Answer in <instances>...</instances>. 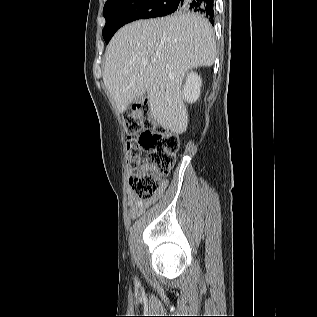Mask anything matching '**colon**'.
I'll return each instance as SVG.
<instances>
[{
	"label": "colon",
	"mask_w": 317,
	"mask_h": 317,
	"mask_svg": "<svg viewBox=\"0 0 317 317\" xmlns=\"http://www.w3.org/2000/svg\"><path fill=\"white\" fill-rule=\"evenodd\" d=\"M128 134V166L136 171L130 178L135 197L152 200L159 193L162 178L175 163L179 149L178 136L153 123L146 105H133L125 116Z\"/></svg>",
	"instance_id": "colon-1"
}]
</instances>
